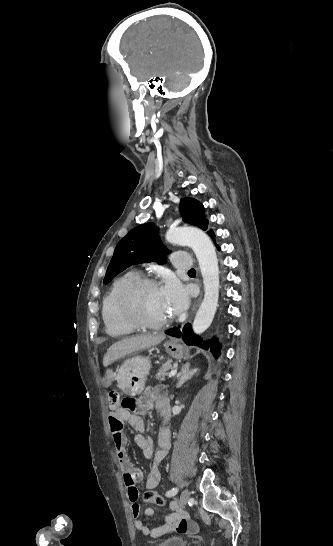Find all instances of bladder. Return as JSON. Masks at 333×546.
Here are the masks:
<instances>
[{
    "label": "bladder",
    "instance_id": "bladder-1",
    "mask_svg": "<svg viewBox=\"0 0 333 546\" xmlns=\"http://www.w3.org/2000/svg\"><path fill=\"white\" fill-rule=\"evenodd\" d=\"M156 546H185V543L182 537L173 536L160 541Z\"/></svg>",
    "mask_w": 333,
    "mask_h": 546
}]
</instances>
